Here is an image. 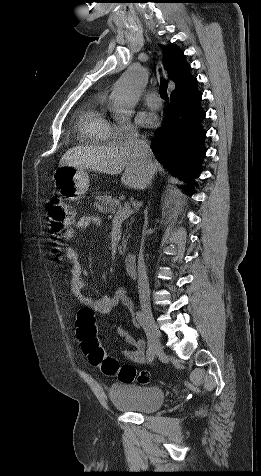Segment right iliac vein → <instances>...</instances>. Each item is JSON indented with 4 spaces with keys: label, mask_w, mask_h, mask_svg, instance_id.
<instances>
[{
    "label": "right iliac vein",
    "mask_w": 261,
    "mask_h": 476,
    "mask_svg": "<svg viewBox=\"0 0 261 476\" xmlns=\"http://www.w3.org/2000/svg\"><path fill=\"white\" fill-rule=\"evenodd\" d=\"M144 314L146 316V321H147V326L148 328H150L152 330V334H153V341L155 342V347L154 348V351L156 353L157 356H160L163 354V345H162V342H161V333L160 331L158 330L157 328V325L154 321V318H153V315H152V312L150 309L148 308H144Z\"/></svg>",
    "instance_id": "right-iliac-vein-1"
}]
</instances>
